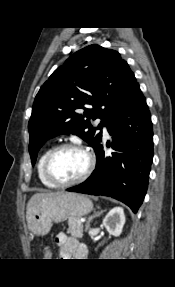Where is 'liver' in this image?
<instances>
[{
    "instance_id": "liver-1",
    "label": "liver",
    "mask_w": 175,
    "mask_h": 287,
    "mask_svg": "<svg viewBox=\"0 0 175 287\" xmlns=\"http://www.w3.org/2000/svg\"><path fill=\"white\" fill-rule=\"evenodd\" d=\"M59 194H61V192H49V193H36V194H34L30 198V200L28 201L27 213L36 203L40 202L44 198L56 196V195H59Z\"/></svg>"
}]
</instances>
